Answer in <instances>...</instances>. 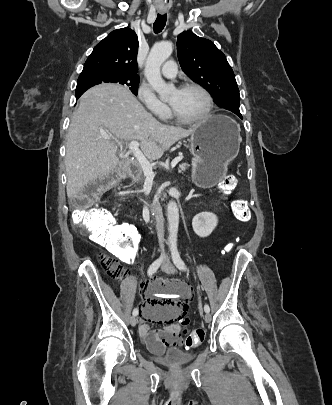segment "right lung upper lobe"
<instances>
[{
  "label": "right lung upper lobe",
  "instance_id": "cb5924a9",
  "mask_svg": "<svg viewBox=\"0 0 332 405\" xmlns=\"http://www.w3.org/2000/svg\"><path fill=\"white\" fill-rule=\"evenodd\" d=\"M137 51L138 38L132 29L114 30L94 47L82 72L110 70L139 77Z\"/></svg>",
  "mask_w": 332,
  "mask_h": 405
}]
</instances>
